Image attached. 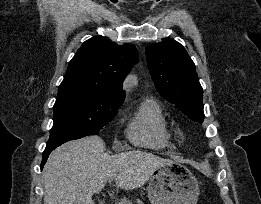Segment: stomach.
Listing matches in <instances>:
<instances>
[{"instance_id":"stomach-1","label":"stomach","mask_w":261,"mask_h":204,"mask_svg":"<svg viewBox=\"0 0 261 204\" xmlns=\"http://www.w3.org/2000/svg\"><path fill=\"white\" fill-rule=\"evenodd\" d=\"M147 191L151 204H196L199 185L185 165L170 161L154 170Z\"/></svg>"}]
</instances>
